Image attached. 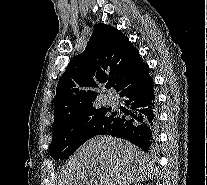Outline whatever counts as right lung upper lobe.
Returning a JSON list of instances; mask_svg holds the SVG:
<instances>
[{
	"mask_svg": "<svg viewBox=\"0 0 207 185\" xmlns=\"http://www.w3.org/2000/svg\"><path fill=\"white\" fill-rule=\"evenodd\" d=\"M148 71L124 34L110 25L97 24L83 53L71 60L58 82L52 128L96 109L93 103L101 83L112 81L116 89Z\"/></svg>",
	"mask_w": 207,
	"mask_h": 185,
	"instance_id": "obj_1",
	"label": "right lung upper lobe"
}]
</instances>
